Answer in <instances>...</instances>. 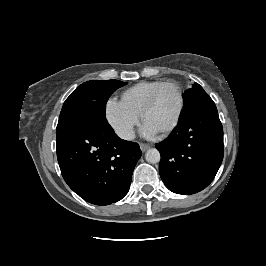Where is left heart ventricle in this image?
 <instances>
[{
    "label": "left heart ventricle",
    "instance_id": "b2bd125f",
    "mask_svg": "<svg viewBox=\"0 0 266 266\" xmlns=\"http://www.w3.org/2000/svg\"><path fill=\"white\" fill-rule=\"evenodd\" d=\"M178 105L179 97L176 88L173 86L163 88L153 106L147 112L145 122L161 131L174 119Z\"/></svg>",
    "mask_w": 266,
    "mask_h": 266
}]
</instances>
